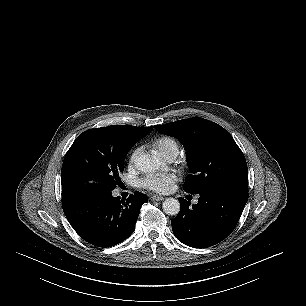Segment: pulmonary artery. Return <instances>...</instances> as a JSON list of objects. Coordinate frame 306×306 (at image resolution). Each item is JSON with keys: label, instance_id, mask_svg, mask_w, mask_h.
I'll list each match as a JSON object with an SVG mask.
<instances>
[{"label": "pulmonary artery", "instance_id": "pulmonary-artery-1", "mask_svg": "<svg viewBox=\"0 0 306 306\" xmlns=\"http://www.w3.org/2000/svg\"><path fill=\"white\" fill-rule=\"evenodd\" d=\"M175 157H176V156H175V155H173V156L169 157L168 159H169V160H174V159H175Z\"/></svg>", "mask_w": 306, "mask_h": 306}]
</instances>
